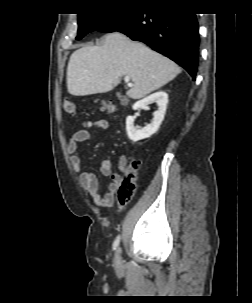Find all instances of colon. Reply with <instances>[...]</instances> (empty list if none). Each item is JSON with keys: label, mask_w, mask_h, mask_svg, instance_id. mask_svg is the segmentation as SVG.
I'll use <instances>...</instances> for the list:
<instances>
[{"label": "colon", "mask_w": 252, "mask_h": 303, "mask_svg": "<svg viewBox=\"0 0 252 303\" xmlns=\"http://www.w3.org/2000/svg\"><path fill=\"white\" fill-rule=\"evenodd\" d=\"M101 106L104 110L113 111L114 107L111 103L102 102ZM63 108L66 113L73 114L76 110V105L73 99L65 98L63 101ZM141 166L140 160L133 159L129 161L125 175L120 183L118 199L119 202L124 204L132 200L138 180V172Z\"/></svg>", "instance_id": "colon-1"}]
</instances>
